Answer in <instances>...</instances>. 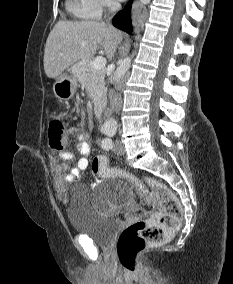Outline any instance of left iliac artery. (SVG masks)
Returning a JSON list of instances; mask_svg holds the SVG:
<instances>
[{"label": "left iliac artery", "mask_w": 233, "mask_h": 284, "mask_svg": "<svg viewBox=\"0 0 233 284\" xmlns=\"http://www.w3.org/2000/svg\"><path fill=\"white\" fill-rule=\"evenodd\" d=\"M103 132L108 136V138H105L102 141V147L106 150L112 149L113 147V142L111 137H113L116 133V130L114 129H104Z\"/></svg>", "instance_id": "1"}]
</instances>
